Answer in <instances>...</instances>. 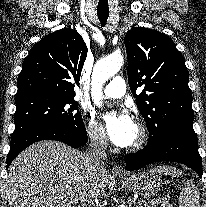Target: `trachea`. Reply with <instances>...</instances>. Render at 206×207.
I'll return each instance as SVG.
<instances>
[{"label":"trachea","mask_w":206,"mask_h":207,"mask_svg":"<svg viewBox=\"0 0 206 207\" xmlns=\"http://www.w3.org/2000/svg\"><path fill=\"white\" fill-rule=\"evenodd\" d=\"M98 14V18L102 24V26H104L107 22L108 16H109V11H97Z\"/></svg>","instance_id":"obj_1"}]
</instances>
